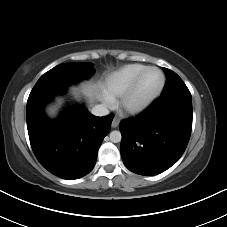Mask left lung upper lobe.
I'll list each match as a JSON object with an SVG mask.
<instances>
[{"label": "left lung upper lobe", "mask_w": 227, "mask_h": 227, "mask_svg": "<svg viewBox=\"0 0 227 227\" xmlns=\"http://www.w3.org/2000/svg\"><path fill=\"white\" fill-rule=\"evenodd\" d=\"M164 72L166 74L167 81L163 92L159 98L191 99L190 91L188 90L182 79L175 72L167 68H164Z\"/></svg>", "instance_id": "left-lung-upper-lobe-1"}]
</instances>
